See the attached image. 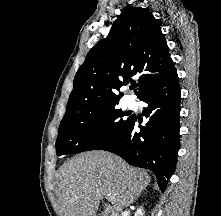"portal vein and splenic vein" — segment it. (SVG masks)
Returning <instances> with one entry per match:
<instances>
[{"label": "portal vein and splenic vein", "mask_w": 221, "mask_h": 216, "mask_svg": "<svg viewBox=\"0 0 221 216\" xmlns=\"http://www.w3.org/2000/svg\"><path fill=\"white\" fill-rule=\"evenodd\" d=\"M108 197H110L112 199V197L110 195H108Z\"/></svg>", "instance_id": "portal-vein-and-splenic-vein-1"}]
</instances>
